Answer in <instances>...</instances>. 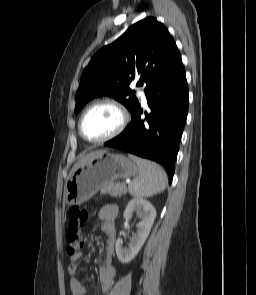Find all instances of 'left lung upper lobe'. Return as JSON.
<instances>
[{"instance_id": "1", "label": "left lung upper lobe", "mask_w": 256, "mask_h": 295, "mask_svg": "<svg viewBox=\"0 0 256 295\" xmlns=\"http://www.w3.org/2000/svg\"><path fill=\"white\" fill-rule=\"evenodd\" d=\"M180 60L179 50L162 23L153 17L136 22L115 42L101 48L84 69L76 93L75 114L91 99L109 95L132 115L139 102L130 83L135 78L137 86L144 82L146 92Z\"/></svg>"}]
</instances>
